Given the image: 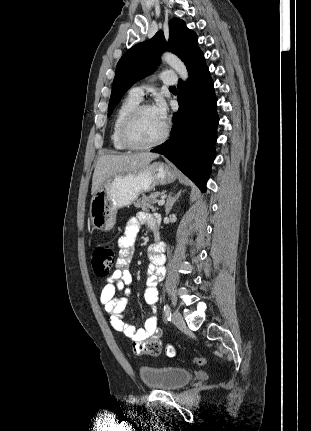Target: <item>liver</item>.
Listing matches in <instances>:
<instances>
[{
    "label": "liver",
    "mask_w": 311,
    "mask_h": 431,
    "mask_svg": "<svg viewBox=\"0 0 311 431\" xmlns=\"http://www.w3.org/2000/svg\"><path fill=\"white\" fill-rule=\"evenodd\" d=\"M156 158H159V154H151V152L122 154V156H100L92 176V196L109 178H114L118 174H121V176L136 174Z\"/></svg>",
    "instance_id": "liver-1"
}]
</instances>
